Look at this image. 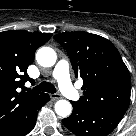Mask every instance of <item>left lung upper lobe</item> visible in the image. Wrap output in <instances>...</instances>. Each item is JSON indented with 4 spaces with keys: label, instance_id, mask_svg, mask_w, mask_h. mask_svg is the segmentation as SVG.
I'll list each match as a JSON object with an SVG mask.
<instances>
[{
    "label": "left lung upper lobe",
    "instance_id": "5c2ea615",
    "mask_svg": "<svg viewBox=\"0 0 136 136\" xmlns=\"http://www.w3.org/2000/svg\"><path fill=\"white\" fill-rule=\"evenodd\" d=\"M54 38L67 50L75 75L83 80L84 96L77 103L124 115L130 102V74L112 42L86 32Z\"/></svg>",
    "mask_w": 136,
    "mask_h": 136
}]
</instances>
